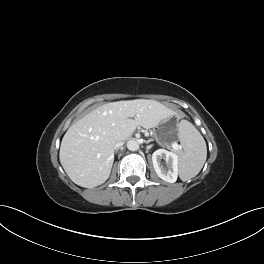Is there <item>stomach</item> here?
I'll return each mask as SVG.
<instances>
[{
  "mask_svg": "<svg viewBox=\"0 0 264 264\" xmlns=\"http://www.w3.org/2000/svg\"><path fill=\"white\" fill-rule=\"evenodd\" d=\"M180 118L178 115L173 114L170 116L166 122L161 123L156 127L154 135L156 141L161 144L168 146L173 143L174 140L178 137V131L176 129L177 124L179 123Z\"/></svg>",
  "mask_w": 264,
  "mask_h": 264,
  "instance_id": "1",
  "label": "stomach"
}]
</instances>
